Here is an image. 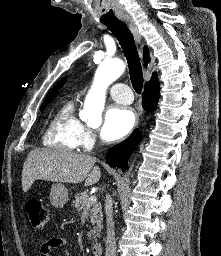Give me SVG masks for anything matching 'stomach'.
<instances>
[{"label":"stomach","instance_id":"1","mask_svg":"<svg viewBox=\"0 0 221 256\" xmlns=\"http://www.w3.org/2000/svg\"><path fill=\"white\" fill-rule=\"evenodd\" d=\"M51 204L56 208H62L68 202V190L60 183L53 184L50 191Z\"/></svg>","mask_w":221,"mask_h":256}]
</instances>
